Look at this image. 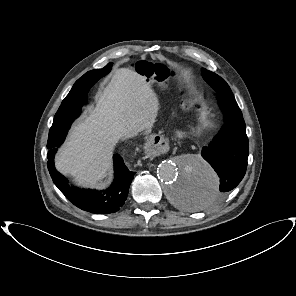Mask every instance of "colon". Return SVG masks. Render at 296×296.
Wrapping results in <instances>:
<instances>
[{"label": "colon", "mask_w": 296, "mask_h": 296, "mask_svg": "<svg viewBox=\"0 0 296 296\" xmlns=\"http://www.w3.org/2000/svg\"><path fill=\"white\" fill-rule=\"evenodd\" d=\"M134 69L147 80L153 83H157L161 86H167L172 73L170 70L160 64H152L146 61H139L134 64ZM189 103H185V108H190Z\"/></svg>", "instance_id": "colon-1"}]
</instances>
